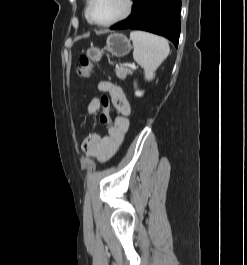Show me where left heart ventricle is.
<instances>
[{
    "label": "left heart ventricle",
    "instance_id": "left-heart-ventricle-1",
    "mask_svg": "<svg viewBox=\"0 0 247 265\" xmlns=\"http://www.w3.org/2000/svg\"><path fill=\"white\" fill-rule=\"evenodd\" d=\"M124 6V0H95L91 14L95 21L103 23L118 16Z\"/></svg>",
    "mask_w": 247,
    "mask_h": 265
}]
</instances>
